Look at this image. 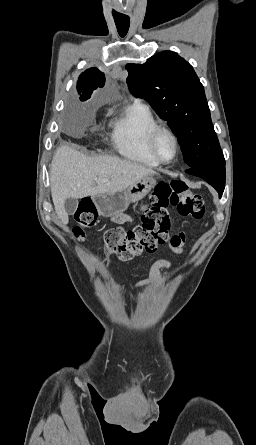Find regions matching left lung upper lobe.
<instances>
[{"instance_id": "5c2ea615", "label": "left lung upper lobe", "mask_w": 256, "mask_h": 445, "mask_svg": "<svg viewBox=\"0 0 256 445\" xmlns=\"http://www.w3.org/2000/svg\"><path fill=\"white\" fill-rule=\"evenodd\" d=\"M126 70L130 92L168 122L190 168L225 164L203 85L188 62L163 51L142 65L127 64Z\"/></svg>"}]
</instances>
